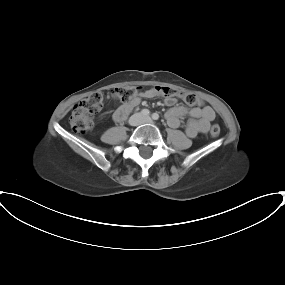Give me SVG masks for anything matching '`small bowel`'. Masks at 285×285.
Wrapping results in <instances>:
<instances>
[{
    "mask_svg": "<svg viewBox=\"0 0 285 285\" xmlns=\"http://www.w3.org/2000/svg\"><path fill=\"white\" fill-rule=\"evenodd\" d=\"M156 95L152 90L139 91L131 100L120 106L114 113V118L119 120L118 112L126 104L132 105L131 110L138 106L142 98H151ZM177 99L175 97H166L165 104L171 108L166 113V119L169 126L176 128L180 125V120L186 116L190 117L186 125L185 132L188 137L194 138L199 133L206 132L209 129L210 123L215 119V112L210 106L201 104L198 107L188 109L184 106H175ZM130 110V111H131Z\"/></svg>",
    "mask_w": 285,
    "mask_h": 285,
    "instance_id": "obj_1",
    "label": "small bowel"
}]
</instances>
